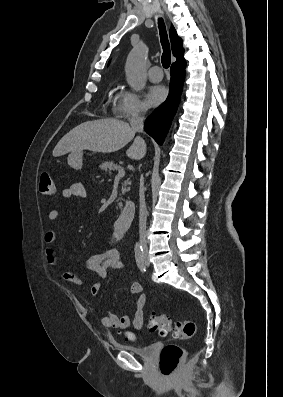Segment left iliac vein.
<instances>
[{
  "label": "left iliac vein",
  "mask_w": 283,
  "mask_h": 397,
  "mask_svg": "<svg viewBox=\"0 0 283 397\" xmlns=\"http://www.w3.org/2000/svg\"><path fill=\"white\" fill-rule=\"evenodd\" d=\"M143 260H144V263H145L146 266L150 265V262H149L147 254L144 255Z\"/></svg>",
  "instance_id": "1"
}]
</instances>
